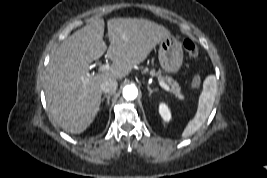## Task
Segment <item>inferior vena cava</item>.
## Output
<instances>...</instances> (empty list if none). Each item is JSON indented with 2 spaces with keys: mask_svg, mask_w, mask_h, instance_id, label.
Listing matches in <instances>:
<instances>
[{
  "mask_svg": "<svg viewBox=\"0 0 267 178\" xmlns=\"http://www.w3.org/2000/svg\"><path fill=\"white\" fill-rule=\"evenodd\" d=\"M118 87V83L116 81V79L114 78H109L107 80H105L104 82H102L101 84V90L105 93V94H113L116 92Z\"/></svg>",
  "mask_w": 267,
  "mask_h": 178,
  "instance_id": "inferior-vena-cava-1",
  "label": "inferior vena cava"
}]
</instances>
